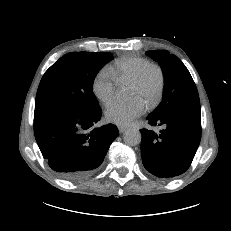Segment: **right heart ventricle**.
I'll return each mask as SVG.
<instances>
[{
	"mask_svg": "<svg viewBox=\"0 0 231 231\" xmlns=\"http://www.w3.org/2000/svg\"><path fill=\"white\" fill-rule=\"evenodd\" d=\"M148 63L144 57L129 55L115 60L107 69L119 85H124L130 84Z\"/></svg>",
	"mask_w": 231,
	"mask_h": 231,
	"instance_id": "obj_1",
	"label": "right heart ventricle"
}]
</instances>
